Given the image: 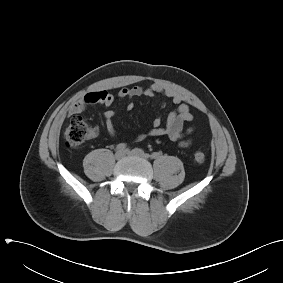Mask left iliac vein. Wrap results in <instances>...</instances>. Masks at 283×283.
<instances>
[{
	"label": "left iliac vein",
	"mask_w": 283,
	"mask_h": 283,
	"mask_svg": "<svg viewBox=\"0 0 283 283\" xmlns=\"http://www.w3.org/2000/svg\"><path fill=\"white\" fill-rule=\"evenodd\" d=\"M127 154L131 155V156H137L143 159H148L149 155H147L142 149L139 148H135L131 151H128Z\"/></svg>",
	"instance_id": "1"
}]
</instances>
